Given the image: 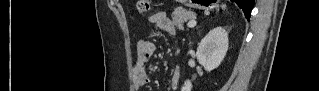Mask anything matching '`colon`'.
<instances>
[{
  "instance_id": "obj_1",
  "label": "colon",
  "mask_w": 319,
  "mask_h": 91,
  "mask_svg": "<svg viewBox=\"0 0 319 91\" xmlns=\"http://www.w3.org/2000/svg\"><path fill=\"white\" fill-rule=\"evenodd\" d=\"M150 10V1L140 0L138 1V11L140 14H146Z\"/></svg>"
}]
</instances>
